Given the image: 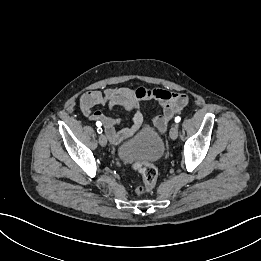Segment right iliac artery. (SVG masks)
Masks as SVG:
<instances>
[{"instance_id":"1","label":"right iliac artery","mask_w":261,"mask_h":261,"mask_svg":"<svg viewBox=\"0 0 261 261\" xmlns=\"http://www.w3.org/2000/svg\"><path fill=\"white\" fill-rule=\"evenodd\" d=\"M101 125H102L101 122H96V126L98 127V128H97V132H98L99 134H101L102 131H103L102 128H101Z\"/></svg>"}]
</instances>
